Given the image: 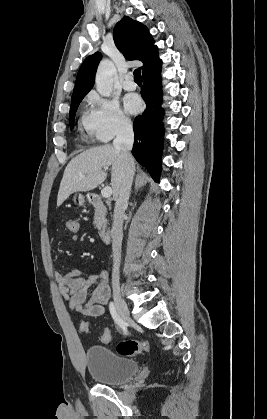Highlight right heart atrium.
Wrapping results in <instances>:
<instances>
[{"label": "right heart atrium", "instance_id": "d8ad5b80", "mask_svg": "<svg viewBox=\"0 0 267 419\" xmlns=\"http://www.w3.org/2000/svg\"><path fill=\"white\" fill-rule=\"evenodd\" d=\"M88 102L92 107L94 118L93 135L98 140L107 142L131 128L130 117L116 100L91 92Z\"/></svg>", "mask_w": 267, "mask_h": 419}]
</instances>
